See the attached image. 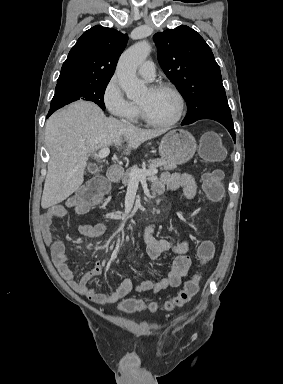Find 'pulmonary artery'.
I'll return each mask as SVG.
<instances>
[{
  "mask_svg": "<svg viewBox=\"0 0 283 384\" xmlns=\"http://www.w3.org/2000/svg\"><path fill=\"white\" fill-rule=\"evenodd\" d=\"M155 73H156L155 66L150 61L142 62L138 67L139 76L145 78L148 81H151L154 79Z\"/></svg>",
  "mask_w": 283,
  "mask_h": 384,
  "instance_id": "e3ab8cb5",
  "label": "pulmonary artery"
}]
</instances>
